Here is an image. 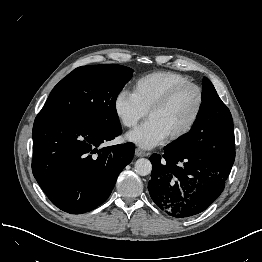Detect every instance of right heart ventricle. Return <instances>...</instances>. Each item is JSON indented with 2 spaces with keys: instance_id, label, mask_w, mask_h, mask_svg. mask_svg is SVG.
<instances>
[{
  "instance_id": "right-heart-ventricle-1",
  "label": "right heart ventricle",
  "mask_w": 262,
  "mask_h": 262,
  "mask_svg": "<svg viewBox=\"0 0 262 262\" xmlns=\"http://www.w3.org/2000/svg\"><path fill=\"white\" fill-rule=\"evenodd\" d=\"M189 79L179 73L158 71L147 74L137 80L133 93L142 107L149 108L177 85L187 83Z\"/></svg>"
}]
</instances>
